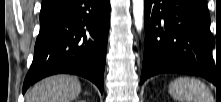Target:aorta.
<instances>
[{
	"label": "aorta",
	"instance_id": "762f6f07",
	"mask_svg": "<svg viewBox=\"0 0 221 102\" xmlns=\"http://www.w3.org/2000/svg\"><path fill=\"white\" fill-rule=\"evenodd\" d=\"M133 2V15L135 20V26L138 31H141L143 26L144 16V0H132Z\"/></svg>",
	"mask_w": 221,
	"mask_h": 102
}]
</instances>
